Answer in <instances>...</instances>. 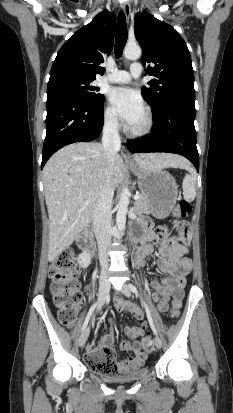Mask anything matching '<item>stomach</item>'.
Here are the masks:
<instances>
[{"instance_id":"stomach-1","label":"stomach","mask_w":233,"mask_h":413,"mask_svg":"<svg viewBox=\"0 0 233 413\" xmlns=\"http://www.w3.org/2000/svg\"><path fill=\"white\" fill-rule=\"evenodd\" d=\"M130 168L138 177V186L150 203V212L166 218L176 205L178 190L175 179L163 169L143 170L137 164Z\"/></svg>"}]
</instances>
